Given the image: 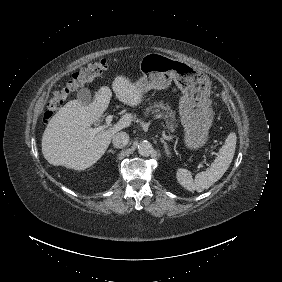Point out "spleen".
Instances as JSON below:
<instances>
[{
  "label": "spleen",
  "mask_w": 282,
  "mask_h": 282,
  "mask_svg": "<svg viewBox=\"0 0 282 282\" xmlns=\"http://www.w3.org/2000/svg\"><path fill=\"white\" fill-rule=\"evenodd\" d=\"M237 137L235 133H230L225 140V144L220 148L219 155L206 171L196 174L193 180L191 172L187 169L177 170L178 182L187 190L202 192L218 181L229 168L235 153Z\"/></svg>",
  "instance_id": "1"
}]
</instances>
